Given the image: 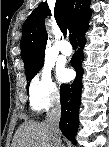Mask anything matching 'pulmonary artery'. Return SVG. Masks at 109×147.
Here are the masks:
<instances>
[{
  "label": "pulmonary artery",
  "instance_id": "pulmonary-artery-1",
  "mask_svg": "<svg viewBox=\"0 0 109 147\" xmlns=\"http://www.w3.org/2000/svg\"><path fill=\"white\" fill-rule=\"evenodd\" d=\"M60 50H61V53L66 57H68L72 54V48H71L70 43L68 41L63 42Z\"/></svg>",
  "mask_w": 109,
  "mask_h": 147
}]
</instances>
